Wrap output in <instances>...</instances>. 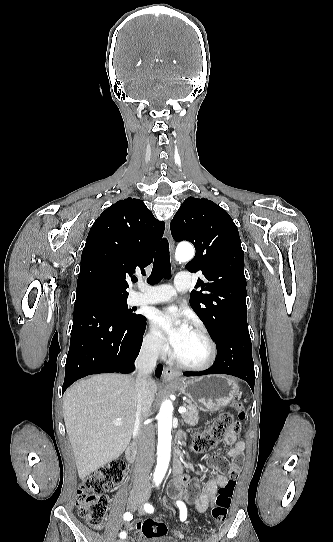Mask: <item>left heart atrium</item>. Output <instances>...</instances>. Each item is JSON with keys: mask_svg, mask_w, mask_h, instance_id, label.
Masks as SVG:
<instances>
[{"mask_svg": "<svg viewBox=\"0 0 333 542\" xmlns=\"http://www.w3.org/2000/svg\"><path fill=\"white\" fill-rule=\"evenodd\" d=\"M155 323L166 338L170 349L175 348L181 337L192 329L188 317L174 306L157 313Z\"/></svg>", "mask_w": 333, "mask_h": 542, "instance_id": "39dd6f15", "label": "left heart atrium"}]
</instances>
